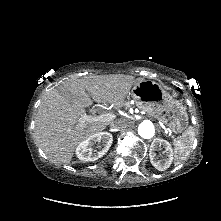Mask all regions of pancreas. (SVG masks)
<instances>
[{"label":"pancreas","instance_id":"1","mask_svg":"<svg viewBox=\"0 0 221 221\" xmlns=\"http://www.w3.org/2000/svg\"><path fill=\"white\" fill-rule=\"evenodd\" d=\"M126 106H127V107H129V106H130V104L127 102V103H126Z\"/></svg>","mask_w":221,"mask_h":221}]
</instances>
